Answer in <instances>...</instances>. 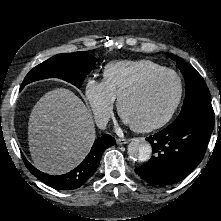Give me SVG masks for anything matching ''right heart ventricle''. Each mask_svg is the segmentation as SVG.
Instances as JSON below:
<instances>
[{
    "mask_svg": "<svg viewBox=\"0 0 221 221\" xmlns=\"http://www.w3.org/2000/svg\"><path fill=\"white\" fill-rule=\"evenodd\" d=\"M164 69V67L154 61L122 60L107 64L103 70V82L115 99L137 83L147 74Z\"/></svg>",
    "mask_w": 221,
    "mask_h": 221,
    "instance_id": "right-heart-ventricle-1",
    "label": "right heart ventricle"
}]
</instances>
